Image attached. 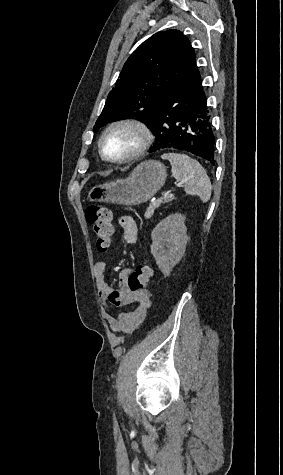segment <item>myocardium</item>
I'll list each match as a JSON object with an SVG mask.
<instances>
[{
	"instance_id": "myocardium-1",
	"label": "myocardium",
	"mask_w": 283,
	"mask_h": 475,
	"mask_svg": "<svg viewBox=\"0 0 283 475\" xmlns=\"http://www.w3.org/2000/svg\"><path fill=\"white\" fill-rule=\"evenodd\" d=\"M122 127L137 129L141 135L140 140L128 154L116 158L108 157L103 150V141L111 132ZM152 140L153 132L146 122L136 118H121L113 121L105 128L98 141V151L102 159L107 162H130L141 157L150 147Z\"/></svg>"
}]
</instances>
